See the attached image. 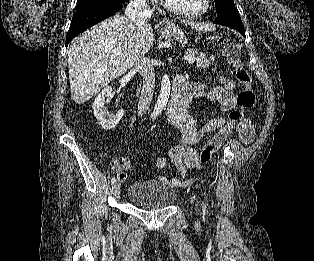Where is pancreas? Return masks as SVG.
<instances>
[{
  "instance_id": "pancreas-1",
  "label": "pancreas",
  "mask_w": 314,
  "mask_h": 261,
  "mask_svg": "<svg viewBox=\"0 0 314 261\" xmlns=\"http://www.w3.org/2000/svg\"><path fill=\"white\" fill-rule=\"evenodd\" d=\"M186 56H194L196 57V65L198 68L207 69L210 67L211 63L214 62L215 56L211 55L210 57L205 53L199 52L195 49H187Z\"/></svg>"
}]
</instances>
